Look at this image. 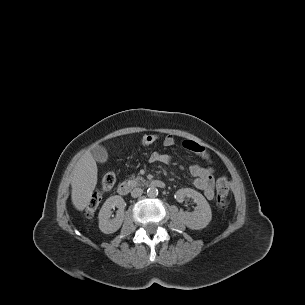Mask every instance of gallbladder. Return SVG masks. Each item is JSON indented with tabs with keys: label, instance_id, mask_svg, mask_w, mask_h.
I'll list each match as a JSON object with an SVG mask.
<instances>
[{
	"label": "gallbladder",
	"instance_id": "bac80fb5",
	"mask_svg": "<svg viewBox=\"0 0 305 305\" xmlns=\"http://www.w3.org/2000/svg\"><path fill=\"white\" fill-rule=\"evenodd\" d=\"M90 153L93 158L99 163H105L108 160V152L103 146H92L90 149Z\"/></svg>",
	"mask_w": 305,
	"mask_h": 305
}]
</instances>
